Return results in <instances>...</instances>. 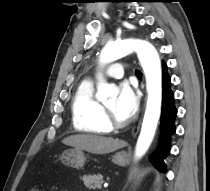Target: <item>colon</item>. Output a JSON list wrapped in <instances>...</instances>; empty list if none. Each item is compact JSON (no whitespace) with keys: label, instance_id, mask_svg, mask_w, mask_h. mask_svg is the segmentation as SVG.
I'll use <instances>...</instances> for the list:
<instances>
[{"label":"colon","instance_id":"obj_1","mask_svg":"<svg viewBox=\"0 0 210 191\" xmlns=\"http://www.w3.org/2000/svg\"><path fill=\"white\" fill-rule=\"evenodd\" d=\"M29 191H41V190H39L37 188H34V189L29 190Z\"/></svg>","mask_w":210,"mask_h":191}]
</instances>
